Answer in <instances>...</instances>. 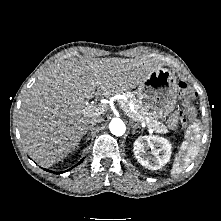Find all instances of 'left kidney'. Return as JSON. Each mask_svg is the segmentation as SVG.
Instances as JSON below:
<instances>
[{"label":"left kidney","mask_w":221,"mask_h":221,"mask_svg":"<svg viewBox=\"0 0 221 221\" xmlns=\"http://www.w3.org/2000/svg\"><path fill=\"white\" fill-rule=\"evenodd\" d=\"M151 152H148V149ZM172 147L163 137L150 135L140 136L134 142V155L138 162L150 170H158L169 162Z\"/></svg>","instance_id":"1"}]
</instances>
